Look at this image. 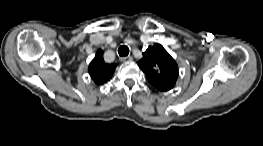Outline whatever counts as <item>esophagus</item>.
Masks as SVG:
<instances>
[{
    "instance_id": "obj_1",
    "label": "esophagus",
    "mask_w": 263,
    "mask_h": 146,
    "mask_svg": "<svg viewBox=\"0 0 263 146\" xmlns=\"http://www.w3.org/2000/svg\"><path fill=\"white\" fill-rule=\"evenodd\" d=\"M133 60V58L131 56H126V57H121L120 61L121 62H126V61H131Z\"/></svg>"
}]
</instances>
